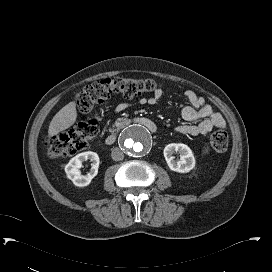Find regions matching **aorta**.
<instances>
[{
    "mask_svg": "<svg viewBox=\"0 0 272 272\" xmlns=\"http://www.w3.org/2000/svg\"><path fill=\"white\" fill-rule=\"evenodd\" d=\"M120 143L130 156L140 157L151 150L152 136L146 128L133 125L122 133Z\"/></svg>",
    "mask_w": 272,
    "mask_h": 272,
    "instance_id": "aorta-1",
    "label": "aorta"
}]
</instances>
